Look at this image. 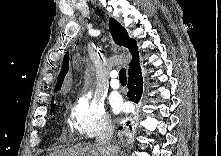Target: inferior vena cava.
Returning a JSON list of instances; mask_svg holds the SVG:
<instances>
[{"label": "inferior vena cava", "mask_w": 221, "mask_h": 156, "mask_svg": "<svg viewBox=\"0 0 221 156\" xmlns=\"http://www.w3.org/2000/svg\"><path fill=\"white\" fill-rule=\"evenodd\" d=\"M113 131L114 130L111 121L107 122L105 129L100 133L99 137L96 139V144L105 149L107 152L112 153V156H115L114 153L118 149V147L114 146L111 143Z\"/></svg>", "instance_id": "602c4592"}]
</instances>
